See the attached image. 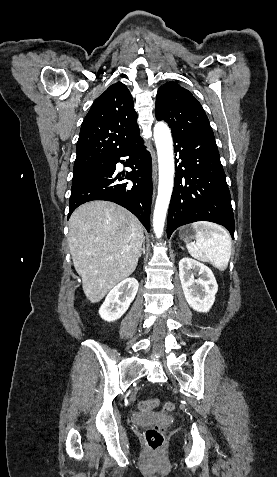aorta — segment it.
<instances>
[{
    "label": "aorta",
    "mask_w": 277,
    "mask_h": 477,
    "mask_svg": "<svg viewBox=\"0 0 277 477\" xmlns=\"http://www.w3.org/2000/svg\"><path fill=\"white\" fill-rule=\"evenodd\" d=\"M154 138L159 163V185L153 214V229L156 237L160 238L164 229L174 181L173 145L171 132L167 124L164 122L155 124Z\"/></svg>",
    "instance_id": "762f6f07"
}]
</instances>
